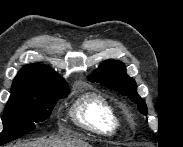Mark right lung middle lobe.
Returning a JSON list of instances; mask_svg holds the SVG:
<instances>
[{"mask_svg": "<svg viewBox=\"0 0 183 147\" xmlns=\"http://www.w3.org/2000/svg\"><path fill=\"white\" fill-rule=\"evenodd\" d=\"M69 93L68 86L62 88H17L4 110L3 131L0 133V145L15 140L35 129V123L49 118L59 98Z\"/></svg>", "mask_w": 183, "mask_h": 147, "instance_id": "right-lung-middle-lobe-1", "label": "right lung middle lobe"}]
</instances>
